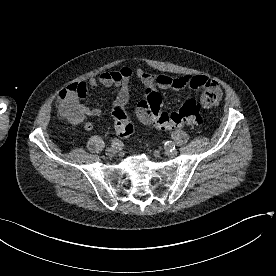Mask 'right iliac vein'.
Listing matches in <instances>:
<instances>
[{
    "mask_svg": "<svg viewBox=\"0 0 276 276\" xmlns=\"http://www.w3.org/2000/svg\"><path fill=\"white\" fill-rule=\"evenodd\" d=\"M119 150H120V147H118V146H112V147H108L106 149V153L108 155H112V154H115L116 152H118Z\"/></svg>",
    "mask_w": 276,
    "mask_h": 276,
    "instance_id": "1",
    "label": "right iliac vein"
}]
</instances>
